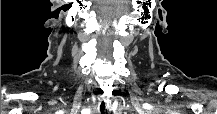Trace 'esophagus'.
<instances>
[{"mask_svg":"<svg viewBox=\"0 0 217 114\" xmlns=\"http://www.w3.org/2000/svg\"><path fill=\"white\" fill-rule=\"evenodd\" d=\"M111 99L108 97H100L98 103V111L100 114H106L108 111H111Z\"/></svg>","mask_w":217,"mask_h":114,"instance_id":"34e87169","label":"esophagus"}]
</instances>
